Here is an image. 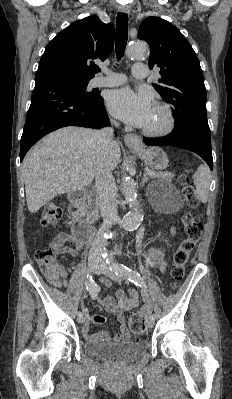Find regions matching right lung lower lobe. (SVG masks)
<instances>
[{
  "label": "right lung lower lobe",
  "mask_w": 232,
  "mask_h": 399,
  "mask_svg": "<svg viewBox=\"0 0 232 399\" xmlns=\"http://www.w3.org/2000/svg\"><path fill=\"white\" fill-rule=\"evenodd\" d=\"M109 124L99 92L87 97L59 79L35 81L21 137L20 161L39 139L56 129L65 126L99 129Z\"/></svg>",
  "instance_id": "right-lung-lower-lobe-1"
}]
</instances>
